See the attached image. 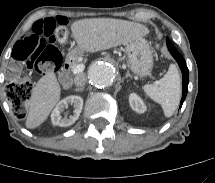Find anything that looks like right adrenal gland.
<instances>
[{
  "mask_svg": "<svg viewBox=\"0 0 215 183\" xmlns=\"http://www.w3.org/2000/svg\"><path fill=\"white\" fill-rule=\"evenodd\" d=\"M84 90V87H81V88H76L75 91L77 92H82Z\"/></svg>",
  "mask_w": 215,
  "mask_h": 183,
  "instance_id": "obj_1",
  "label": "right adrenal gland"
}]
</instances>
